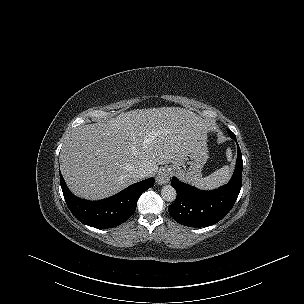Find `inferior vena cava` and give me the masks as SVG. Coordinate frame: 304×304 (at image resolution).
Listing matches in <instances>:
<instances>
[{"mask_svg":"<svg viewBox=\"0 0 304 304\" xmlns=\"http://www.w3.org/2000/svg\"><path fill=\"white\" fill-rule=\"evenodd\" d=\"M134 173L138 180H142L151 176V173L143 167L137 168Z\"/></svg>","mask_w":304,"mask_h":304,"instance_id":"1","label":"inferior vena cava"}]
</instances>
